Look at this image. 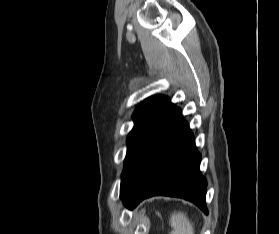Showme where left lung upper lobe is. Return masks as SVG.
Segmentation results:
<instances>
[{
    "instance_id": "1",
    "label": "left lung upper lobe",
    "mask_w": 279,
    "mask_h": 234,
    "mask_svg": "<svg viewBox=\"0 0 279 234\" xmlns=\"http://www.w3.org/2000/svg\"><path fill=\"white\" fill-rule=\"evenodd\" d=\"M164 99L165 96L162 95L150 97L146 99L141 104V106L138 107L133 113L132 118L134 120V128L127 137L128 149L124 161V169L121 180V190L129 175L132 163L141 144V141Z\"/></svg>"
}]
</instances>
